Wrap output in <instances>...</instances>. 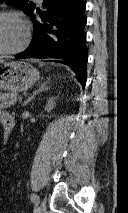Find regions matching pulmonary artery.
I'll use <instances>...</instances> for the list:
<instances>
[{"label": "pulmonary artery", "instance_id": "1", "mask_svg": "<svg viewBox=\"0 0 128 213\" xmlns=\"http://www.w3.org/2000/svg\"><path fill=\"white\" fill-rule=\"evenodd\" d=\"M36 1L39 2V3L41 2V0H36Z\"/></svg>", "mask_w": 128, "mask_h": 213}]
</instances>
